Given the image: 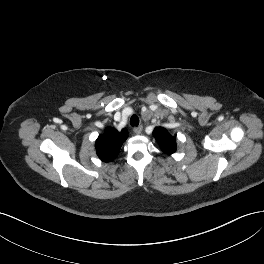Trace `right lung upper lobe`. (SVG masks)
Instances as JSON below:
<instances>
[{
    "label": "right lung upper lobe",
    "mask_w": 264,
    "mask_h": 264,
    "mask_svg": "<svg viewBox=\"0 0 264 264\" xmlns=\"http://www.w3.org/2000/svg\"><path fill=\"white\" fill-rule=\"evenodd\" d=\"M128 133L126 129L117 131L114 128L108 127L105 133L100 135L95 143L98 157L104 162L113 161L122 146V142L127 139Z\"/></svg>",
    "instance_id": "obj_1"
}]
</instances>
